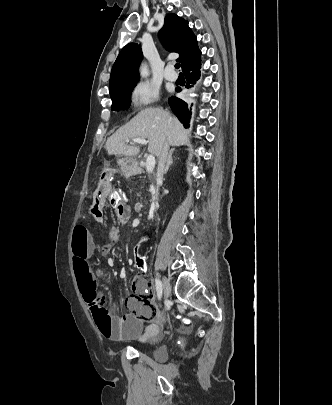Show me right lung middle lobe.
I'll list each match as a JSON object with an SVG mask.
<instances>
[{
	"label": "right lung middle lobe",
	"instance_id": "1",
	"mask_svg": "<svg viewBox=\"0 0 332 405\" xmlns=\"http://www.w3.org/2000/svg\"><path fill=\"white\" fill-rule=\"evenodd\" d=\"M137 80H130L117 84L114 88L110 89V96L112 99L111 109L115 111L127 109L131 103V92L133 91Z\"/></svg>",
	"mask_w": 332,
	"mask_h": 405
}]
</instances>
